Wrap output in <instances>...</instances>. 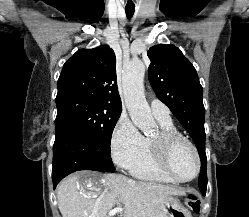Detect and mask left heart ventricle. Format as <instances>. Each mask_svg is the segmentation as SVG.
<instances>
[{
	"label": "left heart ventricle",
	"mask_w": 249,
	"mask_h": 217,
	"mask_svg": "<svg viewBox=\"0 0 249 217\" xmlns=\"http://www.w3.org/2000/svg\"><path fill=\"white\" fill-rule=\"evenodd\" d=\"M171 166L182 177H191L196 170V160L191 148L184 142L177 143L171 152Z\"/></svg>",
	"instance_id": "left-heart-ventricle-1"
}]
</instances>
